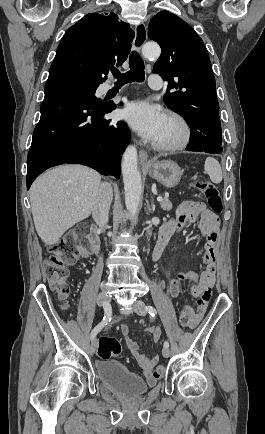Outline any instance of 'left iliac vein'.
<instances>
[{
  "instance_id": "left-iliac-vein-1",
  "label": "left iliac vein",
  "mask_w": 265,
  "mask_h": 434,
  "mask_svg": "<svg viewBox=\"0 0 265 434\" xmlns=\"http://www.w3.org/2000/svg\"><path fill=\"white\" fill-rule=\"evenodd\" d=\"M133 310L137 314H139L141 316H145V314H146L145 303L143 301H141V300H136L135 303H134V306H133ZM162 354H163L164 357H169V355H170L169 348L168 347H164L162 349Z\"/></svg>"
}]
</instances>
